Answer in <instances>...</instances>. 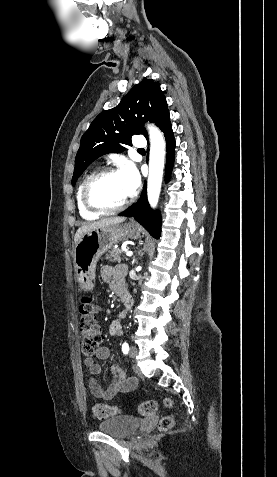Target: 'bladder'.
Segmentation results:
<instances>
[{"mask_svg": "<svg viewBox=\"0 0 277 477\" xmlns=\"http://www.w3.org/2000/svg\"><path fill=\"white\" fill-rule=\"evenodd\" d=\"M139 420L129 415H113L105 418L98 425L101 432L115 438H125L139 427Z\"/></svg>", "mask_w": 277, "mask_h": 477, "instance_id": "obj_1", "label": "bladder"}]
</instances>
